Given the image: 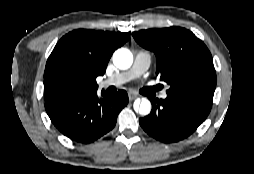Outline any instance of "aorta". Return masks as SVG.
Listing matches in <instances>:
<instances>
[{
    "label": "aorta",
    "mask_w": 254,
    "mask_h": 174,
    "mask_svg": "<svg viewBox=\"0 0 254 174\" xmlns=\"http://www.w3.org/2000/svg\"><path fill=\"white\" fill-rule=\"evenodd\" d=\"M113 63L117 68L126 70L130 68L133 63V55L130 50L126 48L118 49L113 54ZM134 108L139 112V114L146 116L151 111V103L148 99L142 98L141 101H137L134 104Z\"/></svg>",
    "instance_id": "aorta-1"
}]
</instances>
